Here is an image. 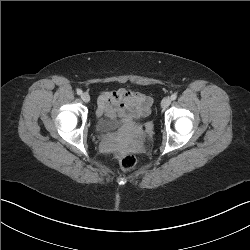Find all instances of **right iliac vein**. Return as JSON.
<instances>
[{"label": "right iliac vein", "instance_id": "1", "mask_svg": "<svg viewBox=\"0 0 250 250\" xmlns=\"http://www.w3.org/2000/svg\"><path fill=\"white\" fill-rule=\"evenodd\" d=\"M81 99L84 101V102H89L90 101V96H89V94L88 93H83L82 95H81Z\"/></svg>", "mask_w": 250, "mask_h": 250}]
</instances>
